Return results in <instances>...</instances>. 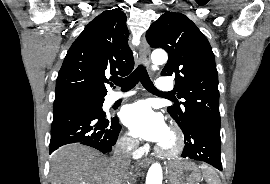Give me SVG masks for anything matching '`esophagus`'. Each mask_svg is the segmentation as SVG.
I'll use <instances>...</instances> for the list:
<instances>
[{
	"label": "esophagus",
	"instance_id": "34e87169",
	"mask_svg": "<svg viewBox=\"0 0 270 184\" xmlns=\"http://www.w3.org/2000/svg\"><path fill=\"white\" fill-rule=\"evenodd\" d=\"M140 62H142L144 65H148L150 62V48L145 37L142 38V43L140 46ZM151 161V158H143L140 160L139 164L142 167H147Z\"/></svg>",
	"mask_w": 270,
	"mask_h": 184
}]
</instances>
